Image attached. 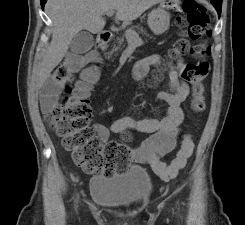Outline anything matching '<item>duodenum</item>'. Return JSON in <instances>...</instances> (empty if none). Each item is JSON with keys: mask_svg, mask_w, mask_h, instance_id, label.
<instances>
[{"mask_svg": "<svg viewBox=\"0 0 245 225\" xmlns=\"http://www.w3.org/2000/svg\"><path fill=\"white\" fill-rule=\"evenodd\" d=\"M111 40V33L109 31H101L97 34L98 47L103 48Z\"/></svg>", "mask_w": 245, "mask_h": 225, "instance_id": "1", "label": "duodenum"}]
</instances>
